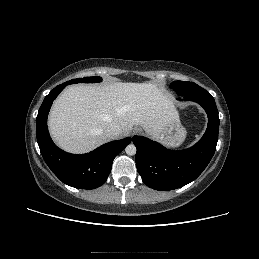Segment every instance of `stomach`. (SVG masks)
Instances as JSON below:
<instances>
[{"label":"stomach","mask_w":259,"mask_h":259,"mask_svg":"<svg viewBox=\"0 0 259 259\" xmlns=\"http://www.w3.org/2000/svg\"><path fill=\"white\" fill-rule=\"evenodd\" d=\"M186 135V129L182 126L177 116L165 125L156 139L167 147L175 148L184 142Z\"/></svg>","instance_id":"stomach-1"}]
</instances>
